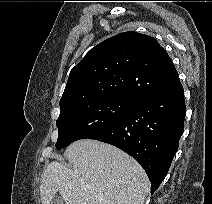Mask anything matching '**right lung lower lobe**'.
I'll return each mask as SVG.
<instances>
[{
	"mask_svg": "<svg viewBox=\"0 0 212 204\" xmlns=\"http://www.w3.org/2000/svg\"><path fill=\"white\" fill-rule=\"evenodd\" d=\"M186 107L180 81L136 100L114 126L89 139L114 145L145 169L154 193L169 170L184 130Z\"/></svg>",
	"mask_w": 212,
	"mask_h": 204,
	"instance_id": "98d812e1",
	"label": "right lung lower lobe"
}]
</instances>
